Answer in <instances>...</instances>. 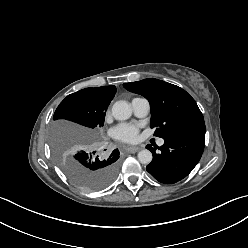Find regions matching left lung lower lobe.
<instances>
[{
	"mask_svg": "<svg viewBox=\"0 0 248 248\" xmlns=\"http://www.w3.org/2000/svg\"><path fill=\"white\" fill-rule=\"evenodd\" d=\"M158 149L147 145L153 154L152 162L146 170L159 182L176 183L185 178L199 162L205 144V123H197L183 128L164 139Z\"/></svg>",
	"mask_w": 248,
	"mask_h": 248,
	"instance_id": "obj_1",
	"label": "left lung lower lobe"
}]
</instances>
